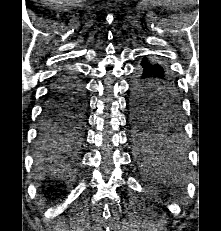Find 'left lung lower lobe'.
Returning a JSON list of instances; mask_svg holds the SVG:
<instances>
[{
	"instance_id": "obj_1",
	"label": "left lung lower lobe",
	"mask_w": 221,
	"mask_h": 231,
	"mask_svg": "<svg viewBox=\"0 0 221 231\" xmlns=\"http://www.w3.org/2000/svg\"><path fill=\"white\" fill-rule=\"evenodd\" d=\"M147 59H143L134 73V77L131 83V103L133 101L148 102L155 108L164 107L167 105V101L161 97L154 95L149 98L148 101L141 100V89L159 87L160 84H155L156 78L160 77L158 72L151 69ZM169 134L163 133L155 135L153 138L148 139L145 142L139 143L136 140L139 148L146 155L145 162L152 161L150 158L152 155L157 156L158 160H176L183 152V145L180 140L181 133V120L179 119L174 125L171 126Z\"/></svg>"
}]
</instances>
